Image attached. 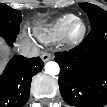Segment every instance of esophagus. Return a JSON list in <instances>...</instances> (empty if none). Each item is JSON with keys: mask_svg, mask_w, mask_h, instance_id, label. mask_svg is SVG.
<instances>
[{"mask_svg": "<svg viewBox=\"0 0 107 107\" xmlns=\"http://www.w3.org/2000/svg\"><path fill=\"white\" fill-rule=\"evenodd\" d=\"M52 58H53V56L48 52H43L41 54V59L43 60V62H47V61L51 60Z\"/></svg>", "mask_w": 107, "mask_h": 107, "instance_id": "34e87169", "label": "esophagus"}]
</instances>
